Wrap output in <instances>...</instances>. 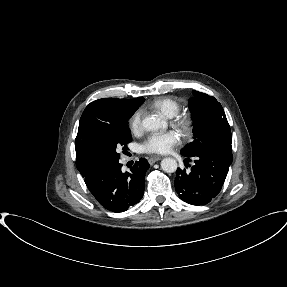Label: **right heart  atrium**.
I'll return each instance as SVG.
<instances>
[{"label":"right heart atrium","mask_w":287,"mask_h":287,"mask_svg":"<svg viewBox=\"0 0 287 287\" xmlns=\"http://www.w3.org/2000/svg\"><path fill=\"white\" fill-rule=\"evenodd\" d=\"M142 116H143L142 110L138 109L131 115L129 119L130 129L134 133H137L142 129Z\"/></svg>","instance_id":"1"}]
</instances>
